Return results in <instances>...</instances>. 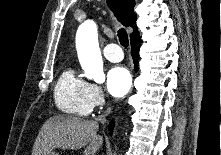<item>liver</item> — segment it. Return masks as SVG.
I'll return each mask as SVG.
<instances>
[{
  "instance_id": "6515ba94",
  "label": "liver",
  "mask_w": 221,
  "mask_h": 155,
  "mask_svg": "<svg viewBox=\"0 0 221 155\" xmlns=\"http://www.w3.org/2000/svg\"><path fill=\"white\" fill-rule=\"evenodd\" d=\"M98 128L96 121L73 116H53L39 131L32 155H48L56 148L77 150L85 146L84 155H95L103 144V137L97 135Z\"/></svg>"
}]
</instances>
